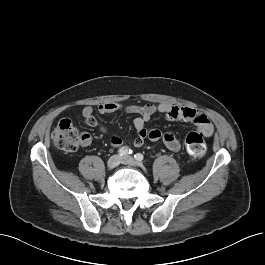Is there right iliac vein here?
<instances>
[{
  "label": "right iliac vein",
  "mask_w": 265,
  "mask_h": 265,
  "mask_svg": "<svg viewBox=\"0 0 265 265\" xmlns=\"http://www.w3.org/2000/svg\"><path fill=\"white\" fill-rule=\"evenodd\" d=\"M121 157L119 155H113L109 158L107 162L108 169H113L120 164Z\"/></svg>",
  "instance_id": "right-iliac-vein-1"
}]
</instances>
